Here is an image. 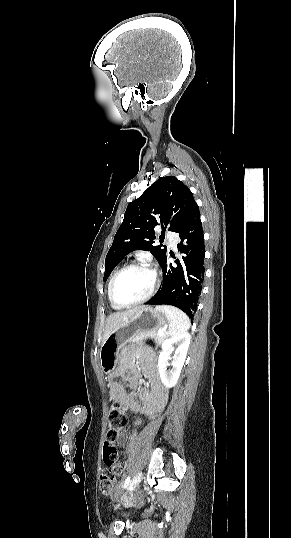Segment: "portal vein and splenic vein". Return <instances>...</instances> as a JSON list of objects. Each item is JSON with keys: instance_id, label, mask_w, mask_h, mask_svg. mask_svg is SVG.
<instances>
[{"instance_id": "portal-vein-and-splenic-vein-1", "label": "portal vein and splenic vein", "mask_w": 291, "mask_h": 538, "mask_svg": "<svg viewBox=\"0 0 291 538\" xmlns=\"http://www.w3.org/2000/svg\"><path fill=\"white\" fill-rule=\"evenodd\" d=\"M158 334L163 335L164 333H163V331H158Z\"/></svg>"}]
</instances>
